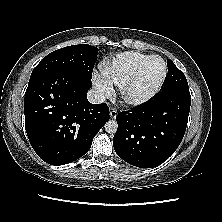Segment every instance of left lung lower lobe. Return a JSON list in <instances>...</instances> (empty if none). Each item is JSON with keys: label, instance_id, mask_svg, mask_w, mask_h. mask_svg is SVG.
<instances>
[{"label": "left lung lower lobe", "instance_id": "0a47b994", "mask_svg": "<svg viewBox=\"0 0 222 222\" xmlns=\"http://www.w3.org/2000/svg\"><path fill=\"white\" fill-rule=\"evenodd\" d=\"M190 104L188 87H172L129 111L120 112L113 138L118 156L140 168H152L166 161L183 139Z\"/></svg>", "mask_w": 222, "mask_h": 222}]
</instances>
